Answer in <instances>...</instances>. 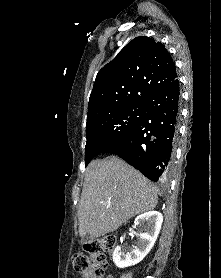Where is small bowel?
I'll return each instance as SVG.
<instances>
[{"mask_svg":"<svg viewBox=\"0 0 221 278\" xmlns=\"http://www.w3.org/2000/svg\"><path fill=\"white\" fill-rule=\"evenodd\" d=\"M105 278H113V276L112 275H106Z\"/></svg>","mask_w":221,"mask_h":278,"instance_id":"obj_1","label":"small bowel"}]
</instances>
